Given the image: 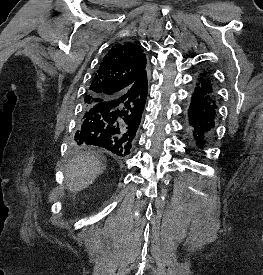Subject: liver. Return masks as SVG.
Here are the masks:
<instances>
[{
    "label": "liver",
    "mask_w": 263,
    "mask_h": 275,
    "mask_svg": "<svg viewBox=\"0 0 263 275\" xmlns=\"http://www.w3.org/2000/svg\"><path fill=\"white\" fill-rule=\"evenodd\" d=\"M105 164L91 153L79 155L65 168V183L73 192H79L91 185L103 173Z\"/></svg>",
    "instance_id": "6515ba94"
}]
</instances>
